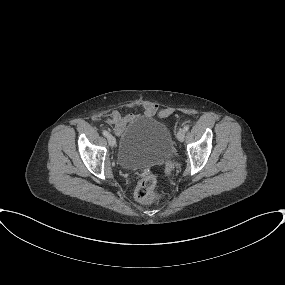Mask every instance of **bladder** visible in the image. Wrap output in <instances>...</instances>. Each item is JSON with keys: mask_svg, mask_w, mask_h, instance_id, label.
I'll list each match as a JSON object with an SVG mask.
<instances>
[{"mask_svg": "<svg viewBox=\"0 0 285 285\" xmlns=\"http://www.w3.org/2000/svg\"><path fill=\"white\" fill-rule=\"evenodd\" d=\"M174 150L169 127L153 116L140 115L127 124L121 136L118 162L126 169H143L164 162Z\"/></svg>", "mask_w": 285, "mask_h": 285, "instance_id": "obj_1", "label": "bladder"}]
</instances>
